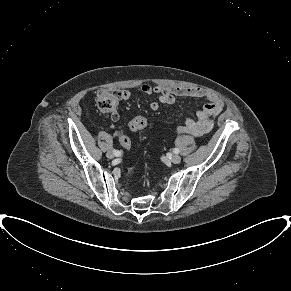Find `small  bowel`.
Segmentation results:
<instances>
[{"label": "small bowel", "instance_id": "obj_1", "mask_svg": "<svg viewBox=\"0 0 291 291\" xmlns=\"http://www.w3.org/2000/svg\"><path fill=\"white\" fill-rule=\"evenodd\" d=\"M137 91L146 94H157L158 100L162 104H173L178 97H193L205 98L208 102L196 114V118H187L184 126L176 129L177 135L190 134L195 137H201L208 133L213 127L212 116L220 114L224 108V103L215 93L202 88H187V87H169V86H151L142 84L137 88ZM131 96L129 90H123L121 99L127 100ZM159 102L153 101L150 103V109L157 111ZM106 114L113 122H117L120 118L116 108L107 111Z\"/></svg>", "mask_w": 291, "mask_h": 291}]
</instances>
